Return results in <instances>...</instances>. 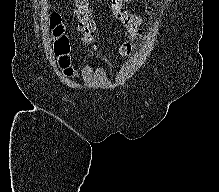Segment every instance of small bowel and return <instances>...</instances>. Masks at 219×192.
<instances>
[{
	"instance_id": "obj_1",
	"label": "small bowel",
	"mask_w": 219,
	"mask_h": 192,
	"mask_svg": "<svg viewBox=\"0 0 219 192\" xmlns=\"http://www.w3.org/2000/svg\"><path fill=\"white\" fill-rule=\"evenodd\" d=\"M132 1L133 0H112L111 9L114 16L126 26L128 30V36L131 39H134L140 32L139 27L141 25V19L127 7V4L131 3ZM74 14L79 19V28L84 33V40L86 42H91L93 40L94 27L92 29L86 30L82 24L84 18H90V11L88 7H82L76 4Z\"/></svg>"
}]
</instances>
